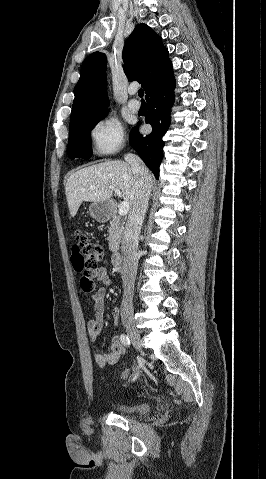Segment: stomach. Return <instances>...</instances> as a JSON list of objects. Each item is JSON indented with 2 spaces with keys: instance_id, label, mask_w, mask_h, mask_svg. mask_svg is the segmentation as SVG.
<instances>
[{
  "instance_id": "0dacf381",
  "label": "stomach",
  "mask_w": 266,
  "mask_h": 479,
  "mask_svg": "<svg viewBox=\"0 0 266 479\" xmlns=\"http://www.w3.org/2000/svg\"><path fill=\"white\" fill-rule=\"evenodd\" d=\"M111 205L109 202H93L89 207L92 218L98 222H105L110 218Z\"/></svg>"
}]
</instances>
